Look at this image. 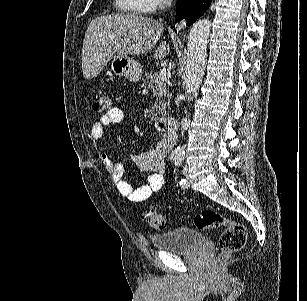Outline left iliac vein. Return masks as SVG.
<instances>
[{"mask_svg": "<svg viewBox=\"0 0 307 301\" xmlns=\"http://www.w3.org/2000/svg\"><path fill=\"white\" fill-rule=\"evenodd\" d=\"M183 174L184 176L188 179L189 178V172H188V166L184 165L183 166ZM189 184L186 186V188H188Z\"/></svg>", "mask_w": 307, "mask_h": 301, "instance_id": "1", "label": "left iliac vein"}]
</instances>
